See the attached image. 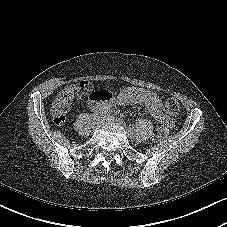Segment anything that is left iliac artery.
Returning a JSON list of instances; mask_svg holds the SVG:
<instances>
[{
	"instance_id": "1",
	"label": "left iliac artery",
	"mask_w": 227,
	"mask_h": 227,
	"mask_svg": "<svg viewBox=\"0 0 227 227\" xmlns=\"http://www.w3.org/2000/svg\"><path fill=\"white\" fill-rule=\"evenodd\" d=\"M131 131L133 132V135H138V130L136 128L132 127Z\"/></svg>"
}]
</instances>
